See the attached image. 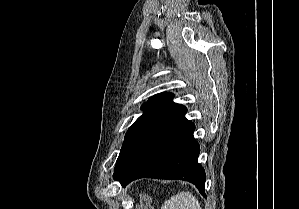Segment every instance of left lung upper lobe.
Listing matches in <instances>:
<instances>
[{"label": "left lung upper lobe", "instance_id": "obj_1", "mask_svg": "<svg viewBox=\"0 0 299 209\" xmlns=\"http://www.w3.org/2000/svg\"><path fill=\"white\" fill-rule=\"evenodd\" d=\"M174 95L172 93H160L149 98V100L142 105L144 113L135 121V123L128 129L124 141L128 136L141 124L146 118H148L154 111H156L163 104L170 101Z\"/></svg>", "mask_w": 299, "mask_h": 209}]
</instances>
